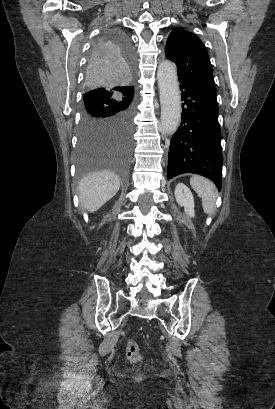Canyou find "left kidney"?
I'll return each mask as SVG.
<instances>
[{"label": "left kidney", "instance_id": "1", "mask_svg": "<svg viewBox=\"0 0 275 409\" xmlns=\"http://www.w3.org/2000/svg\"><path fill=\"white\" fill-rule=\"evenodd\" d=\"M175 196L180 207H184L186 215L194 217V198L191 190L184 182H178L175 188Z\"/></svg>", "mask_w": 275, "mask_h": 409}]
</instances>
